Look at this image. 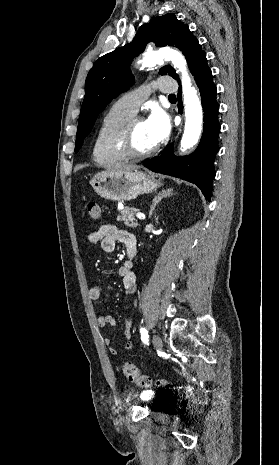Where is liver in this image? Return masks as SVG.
Returning <instances> with one entry per match:
<instances>
[{"instance_id": "6515ba94", "label": "liver", "mask_w": 279, "mask_h": 465, "mask_svg": "<svg viewBox=\"0 0 279 465\" xmlns=\"http://www.w3.org/2000/svg\"><path fill=\"white\" fill-rule=\"evenodd\" d=\"M138 167L136 165H131V164H120L117 165L112 171H129V170H135Z\"/></svg>"}]
</instances>
